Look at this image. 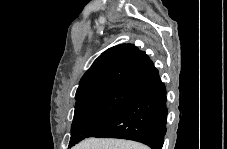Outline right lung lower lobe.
<instances>
[{"instance_id":"obj_1","label":"right lung lower lobe","mask_w":227,"mask_h":149,"mask_svg":"<svg viewBox=\"0 0 227 149\" xmlns=\"http://www.w3.org/2000/svg\"><path fill=\"white\" fill-rule=\"evenodd\" d=\"M160 76L140 84L122 107L88 137L130 139L162 149L168 109Z\"/></svg>"}]
</instances>
